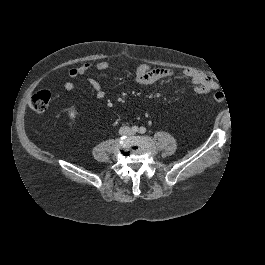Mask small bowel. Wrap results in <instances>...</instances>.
Here are the masks:
<instances>
[{
	"instance_id": "1",
	"label": "small bowel",
	"mask_w": 265,
	"mask_h": 265,
	"mask_svg": "<svg viewBox=\"0 0 265 265\" xmlns=\"http://www.w3.org/2000/svg\"><path fill=\"white\" fill-rule=\"evenodd\" d=\"M109 67L110 64L107 61H101L96 65H93L91 63H84L78 67L70 69L69 76L74 79L86 74L93 68H96L98 71H105ZM181 75L183 77L189 78L195 84V92L198 94H207L210 91L216 90L218 88V84L203 73L193 70H184ZM173 76H175V72L171 69L151 68L146 64L137 66L135 70V81L138 84L144 86L154 84L159 80ZM87 81L91 88L95 91L97 99H104L105 92L102 89L100 83L91 77H89ZM75 87L76 85L72 81H67L64 83V88L67 91H72L75 89Z\"/></svg>"
}]
</instances>
